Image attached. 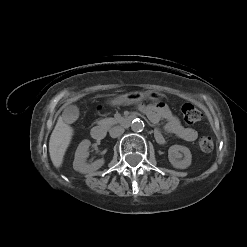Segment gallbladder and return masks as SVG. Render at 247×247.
<instances>
[{
    "instance_id": "gallbladder-1",
    "label": "gallbladder",
    "mask_w": 247,
    "mask_h": 247,
    "mask_svg": "<svg viewBox=\"0 0 247 247\" xmlns=\"http://www.w3.org/2000/svg\"><path fill=\"white\" fill-rule=\"evenodd\" d=\"M79 117V109L77 106L70 105L65 108L62 114L63 121L65 123H72Z\"/></svg>"
}]
</instances>
